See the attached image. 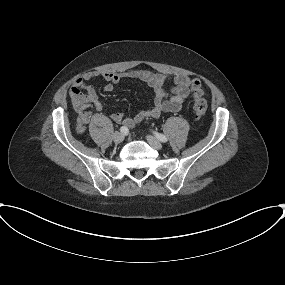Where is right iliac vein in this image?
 I'll return each mask as SVG.
<instances>
[{"label":"right iliac vein","mask_w":285,"mask_h":285,"mask_svg":"<svg viewBox=\"0 0 285 285\" xmlns=\"http://www.w3.org/2000/svg\"><path fill=\"white\" fill-rule=\"evenodd\" d=\"M112 138L115 143H121L124 140L125 136L122 132H115L113 133Z\"/></svg>","instance_id":"1"}]
</instances>
